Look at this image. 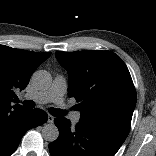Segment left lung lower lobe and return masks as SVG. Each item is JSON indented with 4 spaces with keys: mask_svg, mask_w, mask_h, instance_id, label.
I'll return each instance as SVG.
<instances>
[{
    "mask_svg": "<svg viewBox=\"0 0 156 156\" xmlns=\"http://www.w3.org/2000/svg\"><path fill=\"white\" fill-rule=\"evenodd\" d=\"M59 137L49 144L52 156H114L127 136L116 130L78 122L71 127L66 118L54 119Z\"/></svg>",
    "mask_w": 156,
    "mask_h": 156,
    "instance_id": "left-lung-lower-lobe-1",
    "label": "left lung lower lobe"
}]
</instances>
